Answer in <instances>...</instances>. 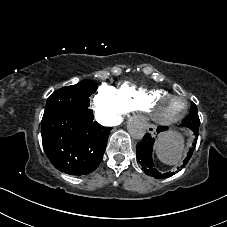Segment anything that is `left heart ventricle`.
I'll use <instances>...</instances> for the list:
<instances>
[{
    "label": "left heart ventricle",
    "mask_w": 227,
    "mask_h": 227,
    "mask_svg": "<svg viewBox=\"0 0 227 227\" xmlns=\"http://www.w3.org/2000/svg\"><path fill=\"white\" fill-rule=\"evenodd\" d=\"M182 107L181 100H169L165 99L157 108V112L164 117L170 116L176 113Z\"/></svg>",
    "instance_id": "b2bd125f"
}]
</instances>
